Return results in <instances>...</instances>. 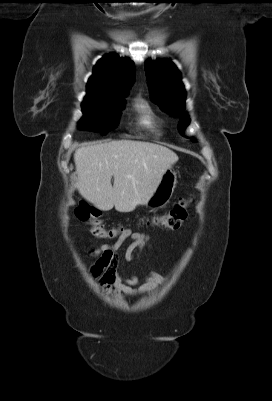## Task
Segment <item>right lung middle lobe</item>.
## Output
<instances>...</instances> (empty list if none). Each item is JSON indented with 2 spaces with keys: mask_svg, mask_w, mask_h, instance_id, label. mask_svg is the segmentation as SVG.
<instances>
[{
  "mask_svg": "<svg viewBox=\"0 0 272 401\" xmlns=\"http://www.w3.org/2000/svg\"><path fill=\"white\" fill-rule=\"evenodd\" d=\"M125 95L126 93L105 94L84 99L80 128L100 132L102 135L116 128L121 115L120 110L124 106Z\"/></svg>",
  "mask_w": 272,
  "mask_h": 401,
  "instance_id": "obj_1",
  "label": "right lung middle lobe"
}]
</instances>
